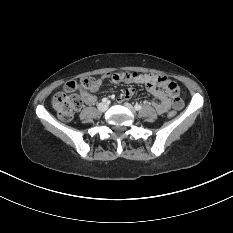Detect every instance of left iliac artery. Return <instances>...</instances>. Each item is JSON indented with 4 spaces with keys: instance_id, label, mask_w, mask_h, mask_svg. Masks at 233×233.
I'll list each match as a JSON object with an SVG mask.
<instances>
[{
    "instance_id": "obj_1",
    "label": "left iliac artery",
    "mask_w": 233,
    "mask_h": 233,
    "mask_svg": "<svg viewBox=\"0 0 233 233\" xmlns=\"http://www.w3.org/2000/svg\"><path fill=\"white\" fill-rule=\"evenodd\" d=\"M134 108H135L136 110H141V109H142V106L139 105V104H135Z\"/></svg>"
}]
</instances>
